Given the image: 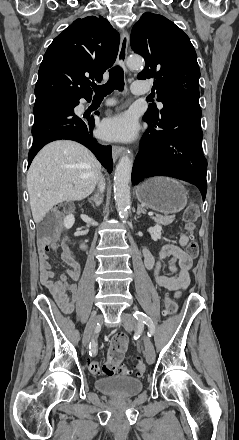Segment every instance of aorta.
Returning <instances> with one entry per match:
<instances>
[{
    "label": "aorta",
    "instance_id": "762f6f07",
    "mask_svg": "<svg viewBox=\"0 0 239 440\" xmlns=\"http://www.w3.org/2000/svg\"><path fill=\"white\" fill-rule=\"evenodd\" d=\"M127 66L131 70L135 68H141L144 66V60L141 56H130L127 60ZM133 160L124 154L121 160H119L114 176V198L116 204V210L120 218H128L131 206L130 186H131V172H132Z\"/></svg>",
    "mask_w": 239,
    "mask_h": 440
}]
</instances>
